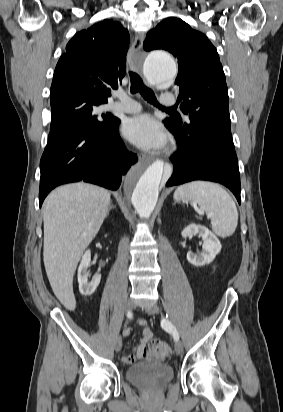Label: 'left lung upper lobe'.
Returning <instances> with one entry per match:
<instances>
[{"mask_svg": "<svg viewBox=\"0 0 283 412\" xmlns=\"http://www.w3.org/2000/svg\"><path fill=\"white\" fill-rule=\"evenodd\" d=\"M146 51L163 49L178 59L181 110L189 115L187 123L167 118L172 129L198 133L208 148L236 156L230 129L229 99L223 67L215 47L207 37L184 21L168 18L147 33Z\"/></svg>", "mask_w": 283, "mask_h": 412, "instance_id": "5c2ea615", "label": "left lung upper lobe"}]
</instances>
